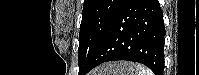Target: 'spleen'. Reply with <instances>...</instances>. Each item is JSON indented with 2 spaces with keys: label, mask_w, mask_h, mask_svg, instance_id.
I'll list each match as a JSON object with an SVG mask.
<instances>
[{
  "label": "spleen",
  "mask_w": 199,
  "mask_h": 75,
  "mask_svg": "<svg viewBox=\"0 0 199 75\" xmlns=\"http://www.w3.org/2000/svg\"><path fill=\"white\" fill-rule=\"evenodd\" d=\"M135 68L138 70V75H153V72L150 69L141 65H135Z\"/></svg>",
  "instance_id": "3e777b00"
}]
</instances>
